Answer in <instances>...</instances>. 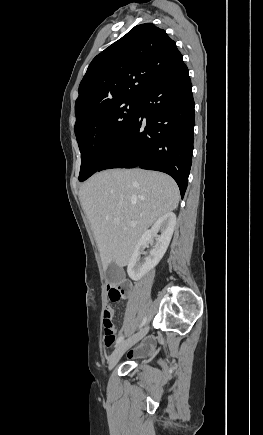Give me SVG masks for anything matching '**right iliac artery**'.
I'll return each mask as SVG.
<instances>
[{
    "instance_id": "1",
    "label": "right iliac artery",
    "mask_w": 263,
    "mask_h": 435,
    "mask_svg": "<svg viewBox=\"0 0 263 435\" xmlns=\"http://www.w3.org/2000/svg\"><path fill=\"white\" fill-rule=\"evenodd\" d=\"M145 322H146V317L144 318L143 322L139 327L141 328L145 324ZM123 340H124V336H120L116 341V346L119 345Z\"/></svg>"
}]
</instances>
